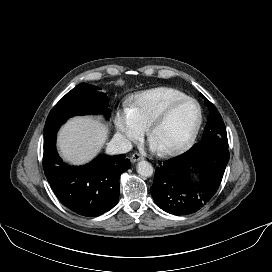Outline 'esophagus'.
<instances>
[{"instance_id":"1","label":"esophagus","mask_w":272,"mask_h":272,"mask_svg":"<svg viewBox=\"0 0 272 272\" xmlns=\"http://www.w3.org/2000/svg\"><path fill=\"white\" fill-rule=\"evenodd\" d=\"M142 159V156L140 155V154H138V153H134L132 156H131V161L132 162H137V161H139V160H141Z\"/></svg>"}]
</instances>
